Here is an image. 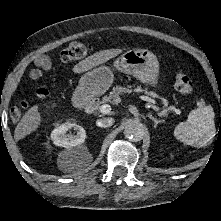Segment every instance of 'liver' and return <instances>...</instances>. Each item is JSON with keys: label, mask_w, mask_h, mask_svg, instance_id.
Wrapping results in <instances>:
<instances>
[{"label": "liver", "mask_w": 221, "mask_h": 221, "mask_svg": "<svg viewBox=\"0 0 221 221\" xmlns=\"http://www.w3.org/2000/svg\"><path fill=\"white\" fill-rule=\"evenodd\" d=\"M122 53L121 49H108L100 52H96L93 55L80 61L73 67L75 73H82L84 71L90 70L95 66L101 65L108 60L118 56ZM39 106L34 105L31 107L22 117L21 121L15 128L14 138L19 141L30 135L38 129L42 122V117L39 113Z\"/></svg>", "instance_id": "liver-1"}]
</instances>
